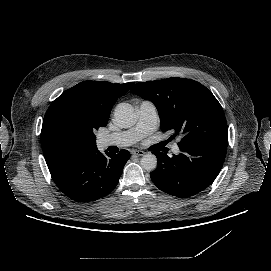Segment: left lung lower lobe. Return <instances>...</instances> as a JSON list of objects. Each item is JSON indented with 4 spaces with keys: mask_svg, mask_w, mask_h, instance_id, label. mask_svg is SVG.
<instances>
[{
    "mask_svg": "<svg viewBox=\"0 0 271 271\" xmlns=\"http://www.w3.org/2000/svg\"><path fill=\"white\" fill-rule=\"evenodd\" d=\"M179 148L181 153L172 158L154 152L158 167L151 172V179L163 192L185 198L203 191L215 180L223 166L227 144L206 141Z\"/></svg>",
    "mask_w": 271,
    "mask_h": 271,
    "instance_id": "0a47b994",
    "label": "left lung lower lobe"
}]
</instances>
